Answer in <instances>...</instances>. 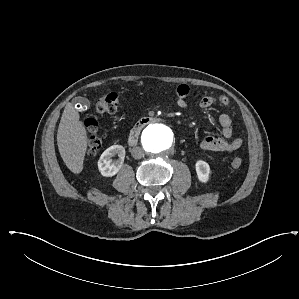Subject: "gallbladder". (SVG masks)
Masks as SVG:
<instances>
[{
  "mask_svg": "<svg viewBox=\"0 0 299 299\" xmlns=\"http://www.w3.org/2000/svg\"><path fill=\"white\" fill-rule=\"evenodd\" d=\"M74 103L81 104L83 106H89L90 102L88 99L83 98V97H77L74 99Z\"/></svg>",
  "mask_w": 299,
  "mask_h": 299,
  "instance_id": "1",
  "label": "gallbladder"
}]
</instances>
